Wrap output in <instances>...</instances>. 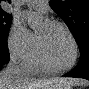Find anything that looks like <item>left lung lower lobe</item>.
<instances>
[{
    "mask_svg": "<svg viewBox=\"0 0 89 89\" xmlns=\"http://www.w3.org/2000/svg\"><path fill=\"white\" fill-rule=\"evenodd\" d=\"M64 76L89 80V46L80 49V59L77 66Z\"/></svg>",
    "mask_w": 89,
    "mask_h": 89,
    "instance_id": "left-lung-lower-lobe-1",
    "label": "left lung lower lobe"
}]
</instances>
